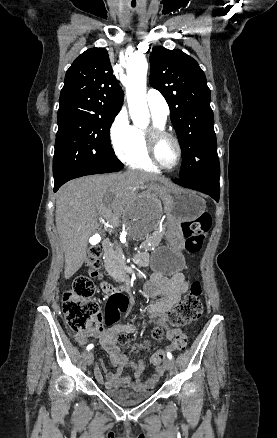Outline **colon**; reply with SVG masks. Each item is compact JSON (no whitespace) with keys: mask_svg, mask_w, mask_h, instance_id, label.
<instances>
[{"mask_svg":"<svg viewBox=\"0 0 277 438\" xmlns=\"http://www.w3.org/2000/svg\"><path fill=\"white\" fill-rule=\"evenodd\" d=\"M210 226L211 217L207 213L201 214L194 222L185 221L182 223L181 231L185 238L184 246L188 252L197 253L200 251ZM102 256L103 250L101 246H93L87 258V265L90 270L85 276L76 277L71 287L63 294V316L74 330L87 331L93 328H101L104 310L100 309L99 304L93 298L95 293L93 280L99 278L98 268L102 263ZM200 293V286L195 285L191 293L187 294L170 311L168 317L172 326H186L202 314L203 305L200 301ZM163 335L164 331L162 328H156L153 332L155 339H161ZM118 342L122 346H126L128 336L120 334ZM186 343L187 335L185 333L177 334L173 340V345L178 349L184 348ZM134 348L138 350L140 345L136 344ZM163 361L164 354L162 352L155 353L151 358V362L154 364H160Z\"/></svg>","mask_w":277,"mask_h":438,"instance_id":"1","label":"colon"}]
</instances>
